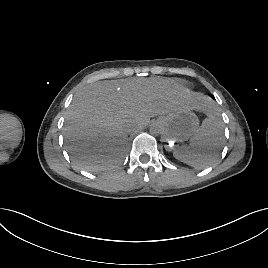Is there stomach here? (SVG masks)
Segmentation results:
<instances>
[{
    "mask_svg": "<svg viewBox=\"0 0 268 268\" xmlns=\"http://www.w3.org/2000/svg\"><path fill=\"white\" fill-rule=\"evenodd\" d=\"M167 141L180 143L191 138L197 131L199 120L190 108H182L158 118Z\"/></svg>",
    "mask_w": 268,
    "mask_h": 268,
    "instance_id": "0dacf381",
    "label": "stomach"
}]
</instances>
